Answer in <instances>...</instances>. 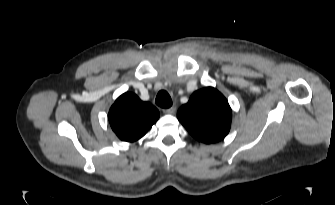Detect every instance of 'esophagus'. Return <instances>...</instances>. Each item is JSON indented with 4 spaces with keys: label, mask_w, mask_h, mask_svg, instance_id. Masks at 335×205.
Segmentation results:
<instances>
[{
    "label": "esophagus",
    "mask_w": 335,
    "mask_h": 205,
    "mask_svg": "<svg viewBox=\"0 0 335 205\" xmlns=\"http://www.w3.org/2000/svg\"><path fill=\"white\" fill-rule=\"evenodd\" d=\"M176 111V107L175 106H172L170 108H167V109H163V113L165 114H174Z\"/></svg>",
    "instance_id": "obj_1"
}]
</instances>
